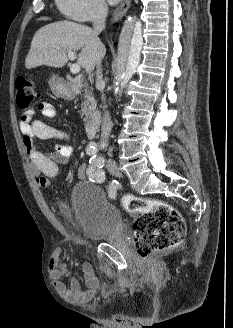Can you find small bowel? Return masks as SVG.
I'll list each match as a JSON object with an SVG mask.
<instances>
[{
  "mask_svg": "<svg viewBox=\"0 0 233 328\" xmlns=\"http://www.w3.org/2000/svg\"><path fill=\"white\" fill-rule=\"evenodd\" d=\"M45 118L56 116L55 107L49 102H41L37 106ZM34 108L26 110L19 121V129L22 134L23 144L31 163L32 171L39 187L46 188L51 180L59 173V162L71 155L72 150L68 146L56 147L55 153L47 154L41 152L36 142L48 139H67L66 133L46 124L42 120L34 119ZM85 165L82 164L78 171L79 177H84ZM49 272L57 292L68 302L82 303L91 300L98 288V279L90 263L82 264V274L85 288L81 282L72 278L69 286L63 282V277L68 273L67 267L61 261V251L52 253L49 261Z\"/></svg>",
  "mask_w": 233,
  "mask_h": 328,
  "instance_id": "c3829d8e",
  "label": "small bowel"
}]
</instances>
